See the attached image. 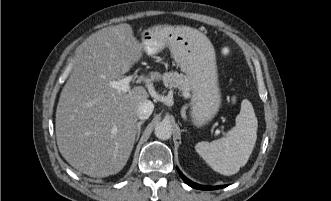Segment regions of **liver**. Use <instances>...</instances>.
I'll use <instances>...</instances> for the list:
<instances>
[{
    "label": "liver",
    "instance_id": "liver-1",
    "mask_svg": "<svg viewBox=\"0 0 331 201\" xmlns=\"http://www.w3.org/2000/svg\"><path fill=\"white\" fill-rule=\"evenodd\" d=\"M164 38L172 26H162ZM131 25L102 29L79 52L56 109V140L64 159L90 177L120 172L132 152L137 109L149 97L142 86L119 92L110 86L143 56ZM161 79L151 72L149 81Z\"/></svg>",
    "mask_w": 331,
    "mask_h": 201
}]
</instances>
